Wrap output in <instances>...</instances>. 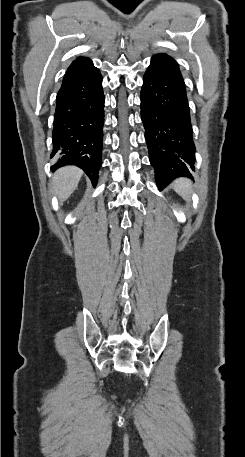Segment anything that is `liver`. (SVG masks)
I'll return each mask as SVG.
<instances>
[{"label":"liver","mask_w":245,"mask_h":457,"mask_svg":"<svg viewBox=\"0 0 245 457\" xmlns=\"http://www.w3.org/2000/svg\"><path fill=\"white\" fill-rule=\"evenodd\" d=\"M83 170L78 166H62L54 172V192L57 194L60 202L67 200L71 192L75 190Z\"/></svg>","instance_id":"liver-1"}]
</instances>
